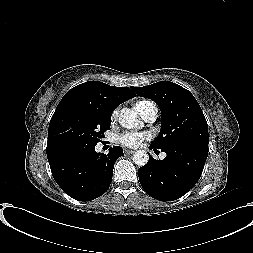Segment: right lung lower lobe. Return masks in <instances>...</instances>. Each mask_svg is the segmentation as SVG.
I'll return each instance as SVG.
<instances>
[{"label":"right lung lower lobe","instance_id":"obj_1","mask_svg":"<svg viewBox=\"0 0 253 253\" xmlns=\"http://www.w3.org/2000/svg\"><path fill=\"white\" fill-rule=\"evenodd\" d=\"M95 146L76 142L46 150L55 181L78 201L93 200L108 190L114 164L123 155L120 146L110 147L107 155L96 153Z\"/></svg>","mask_w":253,"mask_h":253}]
</instances>
